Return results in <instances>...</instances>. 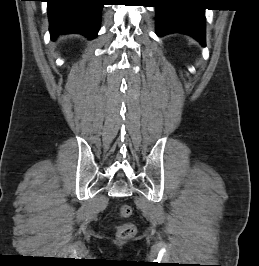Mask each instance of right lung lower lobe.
Here are the masks:
<instances>
[{"label": "right lung lower lobe", "instance_id": "1", "mask_svg": "<svg viewBox=\"0 0 259 266\" xmlns=\"http://www.w3.org/2000/svg\"><path fill=\"white\" fill-rule=\"evenodd\" d=\"M52 38L78 33L88 39L96 37L104 0H47Z\"/></svg>", "mask_w": 259, "mask_h": 266}]
</instances>
